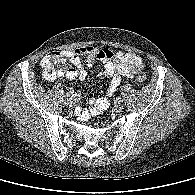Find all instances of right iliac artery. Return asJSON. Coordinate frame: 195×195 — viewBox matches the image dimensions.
<instances>
[{
  "instance_id": "82829eb1",
  "label": "right iliac artery",
  "mask_w": 195,
  "mask_h": 195,
  "mask_svg": "<svg viewBox=\"0 0 195 195\" xmlns=\"http://www.w3.org/2000/svg\"><path fill=\"white\" fill-rule=\"evenodd\" d=\"M71 94H72V93H66V96H67V97H70ZM72 96H74V95H72Z\"/></svg>"
}]
</instances>
